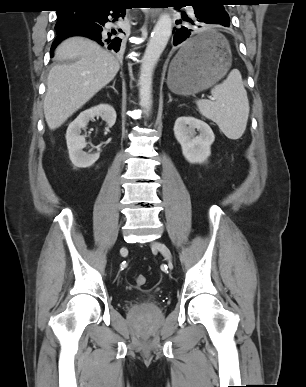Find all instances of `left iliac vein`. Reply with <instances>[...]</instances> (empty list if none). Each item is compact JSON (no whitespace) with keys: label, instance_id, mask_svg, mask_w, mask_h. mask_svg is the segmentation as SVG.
<instances>
[{"label":"left iliac vein","instance_id":"left-iliac-vein-1","mask_svg":"<svg viewBox=\"0 0 306 387\" xmlns=\"http://www.w3.org/2000/svg\"><path fill=\"white\" fill-rule=\"evenodd\" d=\"M152 247L157 249L169 263L171 262V252L165 244L161 242H153Z\"/></svg>","mask_w":306,"mask_h":387}]
</instances>
